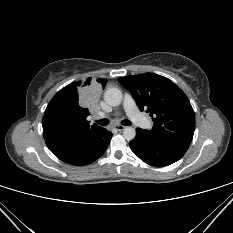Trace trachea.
Returning a JSON list of instances; mask_svg holds the SVG:
<instances>
[{"instance_id": "3493384b", "label": "trachea", "mask_w": 233, "mask_h": 233, "mask_svg": "<svg viewBox=\"0 0 233 233\" xmlns=\"http://www.w3.org/2000/svg\"><path fill=\"white\" fill-rule=\"evenodd\" d=\"M96 122L101 126H106V125L109 124V120L106 119V118L101 119V120H97ZM121 124L124 125V126H129V125H131V122L129 120H127V119H124V120L121 121Z\"/></svg>"}]
</instances>
